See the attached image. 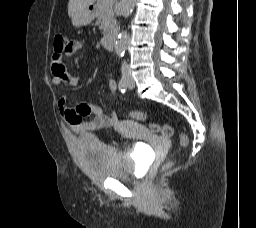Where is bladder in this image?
I'll return each mask as SVG.
<instances>
[{"label": "bladder", "mask_w": 256, "mask_h": 228, "mask_svg": "<svg viewBox=\"0 0 256 228\" xmlns=\"http://www.w3.org/2000/svg\"><path fill=\"white\" fill-rule=\"evenodd\" d=\"M77 150L87 173L99 179H130L145 162V155L138 148L133 147L128 155H123L89 135L78 137Z\"/></svg>", "instance_id": "31cf9c89"}]
</instances>
